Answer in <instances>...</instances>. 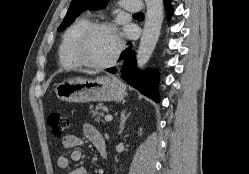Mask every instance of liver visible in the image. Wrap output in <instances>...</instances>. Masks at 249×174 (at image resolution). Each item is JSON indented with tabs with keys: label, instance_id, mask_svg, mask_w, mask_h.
I'll return each mask as SVG.
<instances>
[{
	"label": "liver",
	"instance_id": "1",
	"mask_svg": "<svg viewBox=\"0 0 249 174\" xmlns=\"http://www.w3.org/2000/svg\"><path fill=\"white\" fill-rule=\"evenodd\" d=\"M87 73H89V74H93L94 72H89V71H88Z\"/></svg>",
	"mask_w": 249,
	"mask_h": 174
}]
</instances>
